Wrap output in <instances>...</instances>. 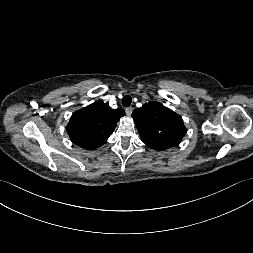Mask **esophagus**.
I'll return each instance as SVG.
<instances>
[{"label":"esophagus","mask_w":253,"mask_h":253,"mask_svg":"<svg viewBox=\"0 0 253 253\" xmlns=\"http://www.w3.org/2000/svg\"><path fill=\"white\" fill-rule=\"evenodd\" d=\"M133 108L132 107H128L125 109V112L128 116H130L132 114Z\"/></svg>","instance_id":"1"}]
</instances>
